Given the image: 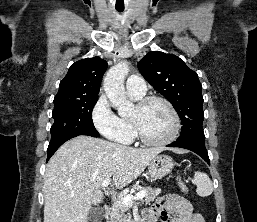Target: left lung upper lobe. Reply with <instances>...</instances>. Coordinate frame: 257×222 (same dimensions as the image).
Segmentation results:
<instances>
[{"label": "left lung upper lobe", "mask_w": 257, "mask_h": 222, "mask_svg": "<svg viewBox=\"0 0 257 222\" xmlns=\"http://www.w3.org/2000/svg\"><path fill=\"white\" fill-rule=\"evenodd\" d=\"M141 74L175 108L182 121L178 141L205 140L202 85L179 57L151 51L138 62Z\"/></svg>", "instance_id": "1"}]
</instances>
